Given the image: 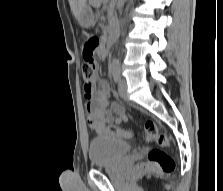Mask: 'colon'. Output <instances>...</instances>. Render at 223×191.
Here are the masks:
<instances>
[{
	"label": "colon",
	"instance_id": "1",
	"mask_svg": "<svg viewBox=\"0 0 223 191\" xmlns=\"http://www.w3.org/2000/svg\"><path fill=\"white\" fill-rule=\"evenodd\" d=\"M99 47L100 42L97 36L89 35L86 37L82 49L84 62L81 71L85 82L88 84L93 82ZM105 133L118 138L133 137L129 131L117 126L108 127ZM145 134L148 141H156L160 148L151 149L148 153L147 162L140 163L138 165V170L141 172L156 170L164 174L172 173L175 169V162L167 152L161 149L170 145L168 136L164 133H160L156 123L153 121H147L145 123Z\"/></svg>",
	"mask_w": 223,
	"mask_h": 191
}]
</instances>
